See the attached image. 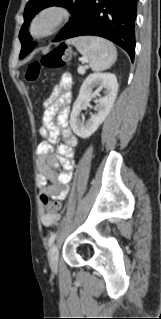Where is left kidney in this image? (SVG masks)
<instances>
[{
    "label": "left kidney",
    "mask_w": 161,
    "mask_h": 319,
    "mask_svg": "<svg viewBox=\"0 0 161 319\" xmlns=\"http://www.w3.org/2000/svg\"><path fill=\"white\" fill-rule=\"evenodd\" d=\"M98 87L96 93L105 88L104 96L96 100L95 111L87 121L79 119V114L85 108L84 102L94 95L93 88ZM118 93L117 78L112 73H93L83 82L77 100L74 102L70 115V125L73 132L81 137H90L103 123L109 114Z\"/></svg>",
    "instance_id": "obj_1"
}]
</instances>
